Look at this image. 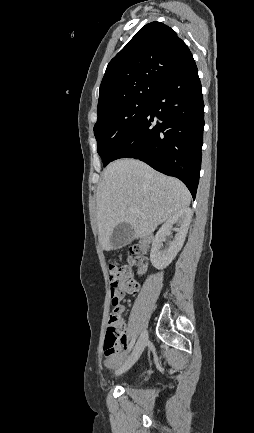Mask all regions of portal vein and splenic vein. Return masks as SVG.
Instances as JSON below:
<instances>
[{"mask_svg": "<svg viewBox=\"0 0 254 433\" xmlns=\"http://www.w3.org/2000/svg\"><path fill=\"white\" fill-rule=\"evenodd\" d=\"M135 212L139 213L140 211L138 209H134Z\"/></svg>", "mask_w": 254, "mask_h": 433, "instance_id": "18ae733b", "label": "portal vein and splenic vein"}]
</instances>
